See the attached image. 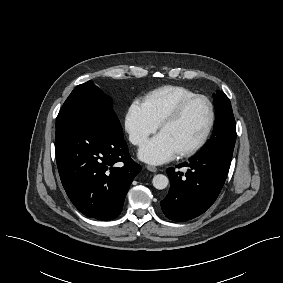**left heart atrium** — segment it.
<instances>
[{
	"label": "left heart atrium",
	"instance_id": "left-heart-atrium-1",
	"mask_svg": "<svg viewBox=\"0 0 283 283\" xmlns=\"http://www.w3.org/2000/svg\"><path fill=\"white\" fill-rule=\"evenodd\" d=\"M138 154L143 161L159 165L174 159L178 152L166 136L158 133L141 146Z\"/></svg>",
	"mask_w": 283,
	"mask_h": 283
}]
</instances>
